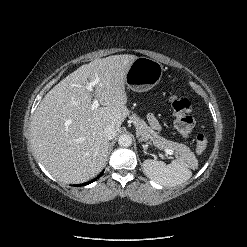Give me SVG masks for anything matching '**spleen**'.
<instances>
[{
    "instance_id": "spleen-1",
    "label": "spleen",
    "mask_w": 247,
    "mask_h": 247,
    "mask_svg": "<svg viewBox=\"0 0 247 247\" xmlns=\"http://www.w3.org/2000/svg\"><path fill=\"white\" fill-rule=\"evenodd\" d=\"M143 169L149 179L167 187L182 184L192 176V171L182 159L173 160L168 165L162 161L147 159L143 163Z\"/></svg>"
}]
</instances>
